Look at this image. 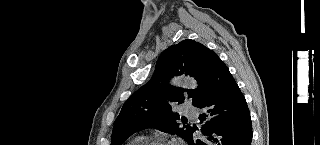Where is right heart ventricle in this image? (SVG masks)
<instances>
[{
	"label": "right heart ventricle",
	"instance_id": "obj_1",
	"mask_svg": "<svg viewBox=\"0 0 320 145\" xmlns=\"http://www.w3.org/2000/svg\"><path fill=\"white\" fill-rule=\"evenodd\" d=\"M143 142H145V137L139 135L130 139L126 145H141Z\"/></svg>",
	"mask_w": 320,
	"mask_h": 145
}]
</instances>
